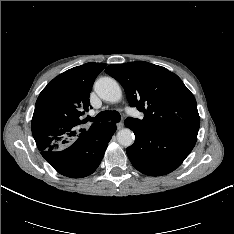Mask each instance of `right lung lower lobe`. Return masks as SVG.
<instances>
[{"label": "right lung lower lobe", "mask_w": 234, "mask_h": 234, "mask_svg": "<svg viewBox=\"0 0 234 234\" xmlns=\"http://www.w3.org/2000/svg\"><path fill=\"white\" fill-rule=\"evenodd\" d=\"M115 131L114 123H100L90 128L68 147L55 151H41V154L58 173L72 178L86 177L99 166Z\"/></svg>", "instance_id": "1"}]
</instances>
